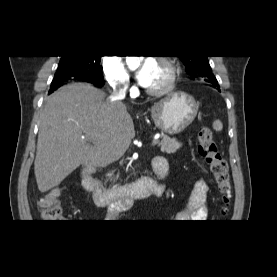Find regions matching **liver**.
<instances>
[{
  "instance_id": "6515ba94",
  "label": "liver",
  "mask_w": 277,
  "mask_h": 277,
  "mask_svg": "<svg viewBox=\"0 0 277 277\" xmlns=\"http://www.w3.org/2000/svg\"><path fill=\"white\" fill-rule=\"evenodd\" d=\"M135 136L121 101L88 83H71L46 99L40 113L34 173L40 192L58 186L81 164L105 167Z\"/></svg>"
}]
</instances>
